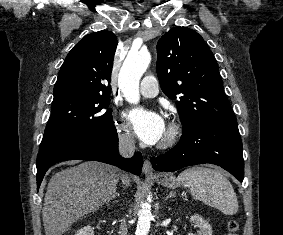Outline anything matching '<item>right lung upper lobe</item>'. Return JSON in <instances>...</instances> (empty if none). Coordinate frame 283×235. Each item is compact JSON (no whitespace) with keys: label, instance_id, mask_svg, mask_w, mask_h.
<instances>
[{"label":"right lung upper lobe","instance_id":"1","mask_svg":"<svg viewBox=\"0 0 283 235\" xmlns=\"http://www.w3.org/2000/svg\"><path fill=\"white\" fill-rule=\"evenodd\" d=\"M117 38L102 30L86 35L67 55L54 86L53 103L71 97L109 96Z\"/></svg>","mask_w":283,"mask_h":235}]
</instances>
